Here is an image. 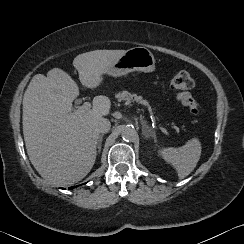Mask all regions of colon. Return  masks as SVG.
<instances>
[{
    "instance_id": "1",
    "label": "colon",
    "mask_w": 244,
    "mask_h": 244,
    "mask_svg": "<svg viewBox=\"0 0 244 244\" xmlns=\"http://www.w3.org/2000/svg\"><path fill=\"white\" fill-rule=\"evenodd\" d=\"M194 85L195 82L191 75L187 71H180L172 78L170 89L185 109L192 115L199 116L201 114V106L190 93Z\"/></svg>"
}]
</instances>
